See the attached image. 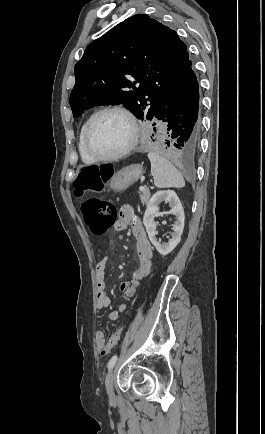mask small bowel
Returning <instances> with one entry per match:
<instances>
[{
    "label": "small bowel",
    "mask_w": 265,
    "mask_h": 434,
    "mask_svg": "<svg viewBox=\"0 0 265 434\" xmlns=\"http://www.w3.org/2000/svg\"><path fill=\"white\" fill-rule=\"evenodd\" d=\"M117 231L131 230L136 240V251L138 255L139 265L133 272L129 281L122 282L120 290L124 299L132 298L143 278L151 272L153 247L147 236L145 228L140 218L134 213L133 209L125 205L121 208L119 216L114 224ZM109 257L106 255L96 264L95 279H96V305L98 309H105L111 306V299L107 295L106 288V268ZM128 310L125 303H121L117 309H113L109 313V319L112 321L118 320L121 313ZM106 340L104 331L98 330L95 333V341L99 350L101 343Z\"/></svg>",
    "instance_id": "c3829d8e"
}]
</instances>
